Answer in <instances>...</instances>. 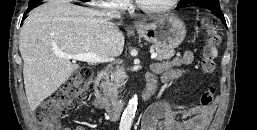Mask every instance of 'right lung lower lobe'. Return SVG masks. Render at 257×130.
Returning <instances> with one entry per match:
<instances>
[{
  "mask_svg": "<svg viewBox=\"0 0 257 130\" xmlns=\"http://www.w3.org/2000/svg\"><path fill=\"white\" fill-rule=\"evenodd\" d=\"M32 1H33V3L29 4L28 9L26 10V12H25V14H24L22 20H24V19L26 18L25 15H26L29 11H31L33 8H35V7H37V6L39 5V2H38V1H35V0H32Z\"/></svg>",
  "mask_w": 257,
  "mask_h": 130,
  "instance_id": "1",
  "label": "right lung lower lobe"
}]
</instances>
